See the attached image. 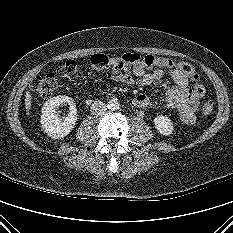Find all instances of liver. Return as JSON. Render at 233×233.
Listing matches in <instances>:
<instances>
[{
	"label": "liver",
	"instance_id": "6515ba94",
	"mask_svg": "<svg viewBox=\"0 0 233 233\" xmlns=\"http://www.w3.org/2000/svg\"><path fill=\"white\" fill-rule=\"evenodd\" d=\"M31 99H32V96L30 92L27 91L26 96H25V108H26L27 115H29V111L31 109V103H32Z\"/></svg>",
	"mask_w": 233,
	"mask_h": 233
}]
</instances>
